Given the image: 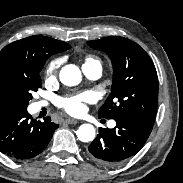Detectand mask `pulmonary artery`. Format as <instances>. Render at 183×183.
<instances>
[{
  "label": "pulmonary artery",
  "mask_w": 183,
  "mask_h": 183,
  "mask_svg": "<svg viewBox=\"0 0 183 183\" xmlns=\"http://www.w3.org/2000/svg\"><path fill=\"white\" fill-rule=\"evenodd\" d=\"M83 72L89 79L96 80L102 75V65L100 64V62L84 65ZM34 106L36 110H39L43 106H46V102L39 101L36 102ZM110 126H114V123H111Z\"/></svg>",
  "instance_id": "e3ab8cb5"
}]
</instances>
